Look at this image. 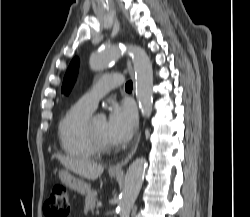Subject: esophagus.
Returning a JSON list of instances; mask_svg holds the SVG:
<instances>
[{
	"instance_id": "1",
	"label": "esophagus",
	"mask_w": 250,
	"mask_h": 217,
	"mask_svg": "<svg viewBox=\"0 0 250 217\" xmlns=\"http://www.w3.org/2000/svg\"><path fill=\"white\" fill-rule=\"evenodd\" d=\"M127 69H128V72H129L132 80L134 81V72H133V68H132V64H131L130 59L127 60ZM139 141H140V133L137 136L135 145L133 146L131 151L128 153V155L121 162L111 166L110 171H113V172H122L123 171V167L125 165H127V163L132 159L133 155L135 154L137 147H138V144H139Z\"/></svg>"
}]
</instances>
